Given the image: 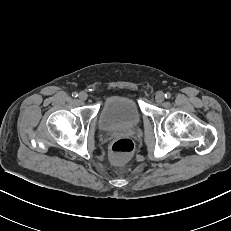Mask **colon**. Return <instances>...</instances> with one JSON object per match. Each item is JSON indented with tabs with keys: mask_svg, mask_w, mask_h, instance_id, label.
I'll list each match as a JSON object with an SVG mask.
<instances>
[{
	"mask_svg": "<svg viewBox=\"0 0 231 231\" xmlns=\"http://www.w3.org/2000/svg\"><path fill=\"white\" fill-rule=\"evenodd\" d=\"M133 150L134 143L131 139L119 138L111 144L110 155L114 162L122 164L129 159Z\"/></svg>",
	"mask_w": 231,
	"mask_h": 231,
	"instance_id": "colon-1",
	"label": "colon"
}]
</instances>
